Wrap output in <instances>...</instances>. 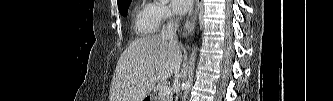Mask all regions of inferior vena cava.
<instances>
[{"mask_svg":"<svg viewBox=\"0 0 333 101\" xmlns=\"http://www.w3.org/2000/svg\"><path fill=\"white\" fill-rule=\"evenodd\" d=\"M180 19L179 18H172L170 19L165 25H163L160 37L162 39L168 40L169 43L177 49V57L175 63V83H178V72L181 65V49L180 44L176 38V31L179 27Z\"/></svg>","mask_w":333,"mask_h":101,"instance_id":"1","label":"inferior vena cava"}]
</instances>
